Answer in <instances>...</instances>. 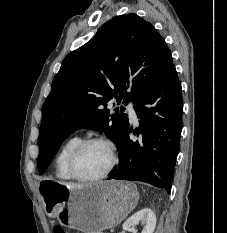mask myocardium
Instances as JSON below:
<instances>
[{
    "label": "myocardium",
    "instance_id": "obj_1",
    "mask_svg": "<svg viewBox=\"0 0 227 233\" xmlns=\"http://www.w3.org/2000/svg\"><path fill=\"white\" fill-rule=\"evenodd\" d=\"M94 143L103 144L108 148L110 153V163L106 168V170L103 171L101 174L95 176H82L76 171L75 168L76 158L83 148ZM117 162H118L117 151L114 144L110 140L103 137H89V138L81 139V141L78 142L75 145V147L71 150L67 160V167L69 174L73 179L82 182H94L106 178L113 171V169L117 165Z\"/></svg>",
    "mask_w": 227,
    "mask_h": 233
}]
</instances>
